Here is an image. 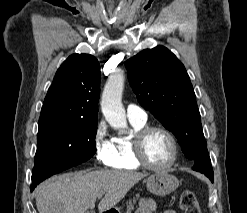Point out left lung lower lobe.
<instances>
[{
    "mask_svg": "<svg viewBox=\"0 0 247 213\" xmlns=\"http://www.w3.org/2000/svg\"><path fill=\"white\" fill-rule=\"evenodd\" d=\"M195 160V166L193 169L195 171L205 174L213 182V170L210 162V157L208 155V150L203 149Z\"/></svg>",
    "mask_w": 247,
    "mask_h": 213,
    "instance_id": "1",
    "label": "left lung lower lobe"
}]
</instances>
